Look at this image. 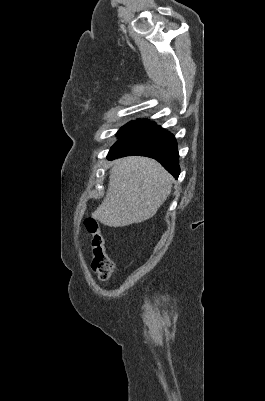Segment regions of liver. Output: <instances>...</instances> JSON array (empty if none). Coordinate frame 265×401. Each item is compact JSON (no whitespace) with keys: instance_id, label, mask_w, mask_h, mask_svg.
Returning <instances> with one entry per match:
<instances>
[{"instance_id":"obj_1","label":"liver","mask_w":265,"mask_h":401,"mask_svg":"<svg viewBox=\"0 0 265 401\" xmlns=\"http://www.w3.org/2000/svg\"><path fill=\"white\" fill-rule=\"evenodd\" d=\"M110 166L107 192L93 219L108 227H127L154 217L171 192L173 176L147 156L117 158Z\"/></svg>"}]
</instances>
